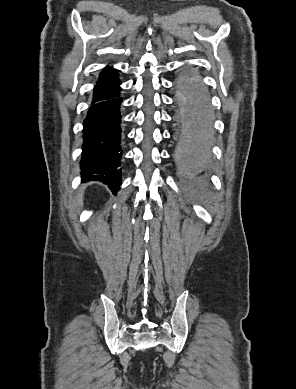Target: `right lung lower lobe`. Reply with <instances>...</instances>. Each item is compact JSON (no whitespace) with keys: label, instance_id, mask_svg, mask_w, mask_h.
<instances>
[{"label":"right lung lower lobe","instance_id":"obj_1","mask_svg":"<svg viewBox=\"0 0 296 389\" xmlns=\"http://www.w3.org/2000/svg\"><path fill=\"white\" fill-rule=\"evenodd\" d=\"M120 87L101 98L93 99L83 123V181L108 184L114 194L121 185L122 128Z\"/></svg>","mask_w":296,"mask_h":389}]
</instances>
